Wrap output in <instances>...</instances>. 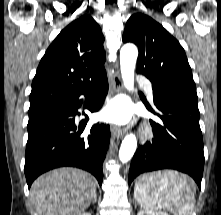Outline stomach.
Segmentation results:
<instances>
[{
    "instance_id": "1",
    "label": "stomach",
    "mask_w": 221,
    "mask_h": 215,
    "mask_svg": "<svg viewBox=\"0 0 221 215\" xmlns=\"http://www.w3.org/2000/svg\"><path fill=\"white\" fill-rule=\"evenodd\" d=\"M164 173H165V171H163V172H157V173L145 175V177H150V176H152L153 179L156 181V180L159 179L161 176H163Z\"/></svg>"
}]
</instances>
